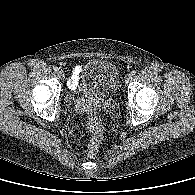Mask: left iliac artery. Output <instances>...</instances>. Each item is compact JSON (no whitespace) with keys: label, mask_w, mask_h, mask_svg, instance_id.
<instances>
[{"label":"left iliac artery","mask_w":195,"mask_h":195,"mask_svg":"<svg viewBox=\"0 0 195 195\" xmlns=\"http://www.w3.org/2000/svg\"><path fill=\"white\" fill-rule=\"evenodd\" d=\"M136 74V71H132L131 72V75L133 76V75H135Z\"/></svg>","instance_id":"44dca946"}]
</instances>
